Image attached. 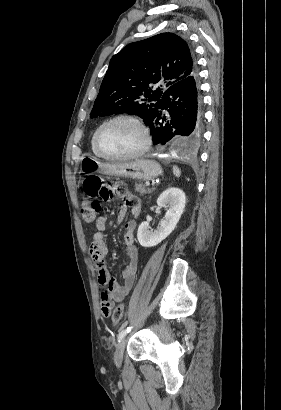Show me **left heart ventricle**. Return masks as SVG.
<instances>
[{
  "label": "left heart ventricle",
  "mask_w": 281,
  "mask_h": 410,
  "mask_svg": "<svg viewBox=\"0 0 281 410\" xmlns=\"http://www.w3.org/2000/svg\"><path fill=\"white\" fill-rule=\"evenodd\" d=\"M99 143L108 154L124 155L135 152L142 146L143 135L132 122L120 120L101 131Z\"/></svg>",
  "instance_id": "1"
}]
</instances>
